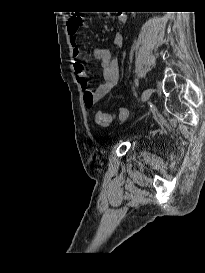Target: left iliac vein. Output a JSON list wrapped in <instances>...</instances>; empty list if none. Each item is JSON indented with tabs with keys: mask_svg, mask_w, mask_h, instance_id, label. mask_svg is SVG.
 <instances>
[{
	"mask_svg": "<svg viewBox=\"0 0 205 273\" xmlns=\"http://www.w3.org/2000/svg\"><path fill=\"white\" fill-rule=\"evenodd\" d=\"M151 93H152L151 89H150V88H146V89L143 91V93H142L141 102H142V103L146 102V101L150 98Z\"/></svg>",
	"mask_w": 205,
	"mask_h": 273,
	"instance_id": "left-iliac-vein-1",
	"label": "left iliac vein"
}]
</instances>
